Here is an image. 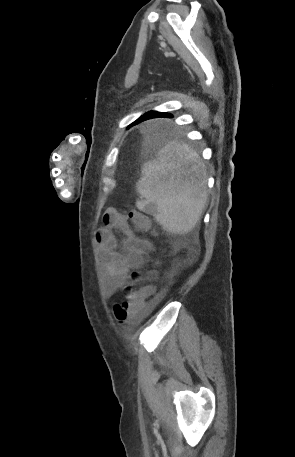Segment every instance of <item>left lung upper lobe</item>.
<instances>
[{"label":"left lung upper lobe","mask_w":295,"mask_h":457,"mask_svg":"<svg viewBox=\"0 0 295 457\" xmlns=\"http://www.w3.org/2000/svg\"><path fill=\"white\" fill-rule=\"evenodd\" d=\"M152 114H153V111H150V112L145 113L144 115H142L141 117H139L136 121H134V122H133L132 124H130L129 126L135 125V124H137V123H140V122H142V121H144V120H147V119L151 118V117H152Z\"/></svg>","instance_id":"5c2ea615"}]
</instances>
